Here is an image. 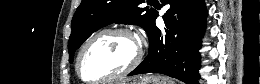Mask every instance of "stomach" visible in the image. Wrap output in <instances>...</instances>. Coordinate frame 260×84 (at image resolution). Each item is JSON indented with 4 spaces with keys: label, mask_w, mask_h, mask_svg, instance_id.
<instances>
[{
    "label": "stomach",
    "mask_w": 260,
    "mask_h": 84,
    "mask_svg": "<svg viewBox=\"0 0 260 84\" xmlns=\"http://www.w3.org/2000/svg\"><path fill=\"white\" fill-rule=\"evenodd\" d=\"M126 84H173V82L168 77L162 75L148 74L138 80Z\"/></svg>",
    "instance_id": "1"
}]
</instances>
